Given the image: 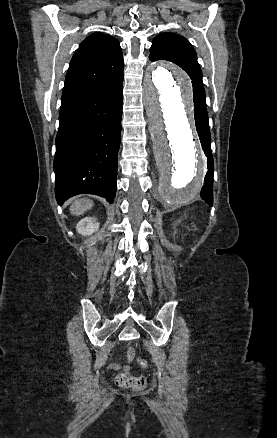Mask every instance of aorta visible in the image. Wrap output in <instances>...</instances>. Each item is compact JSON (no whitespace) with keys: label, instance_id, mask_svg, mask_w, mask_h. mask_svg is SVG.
<instances>
[{"label":"aorta","instance_id":"obj_1","mask_svg":"<svg viewBox=\"0 0 277 438\" xmlns=\"http://www.w3.org/2000/svg\"><path fill=\"white\" fill-rule=\"evenodd\" d=\"M143 95L160 171L159 195L171 205L192 200L200 191L206 157L192 112V86L185 72L168 64L149 67Z\"/></svg>","mask_w":277,"mask_h":438}]
</instances>
